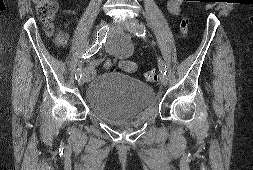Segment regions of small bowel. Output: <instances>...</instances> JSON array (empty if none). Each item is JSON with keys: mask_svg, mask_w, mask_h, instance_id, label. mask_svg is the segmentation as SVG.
<instances>
[{"mask_svg": "<svg viewBox=\"0 0 253 170\" xmlns=\"http://www.w3.org/2000/svg\"><path fill=\"white\" fill-rule=\"evenodd\" d=\"M182 2L183 0H168L166 3V7L169 13L175 16L179 15L181 13ZM120 46L129 48V43L126 40H124L120 43ZM98 62H99L98 59H93L90 62V70H94ZM106 66H110V63H107ZM118 66L127 72H133L137 69V63L132 60L127 59L125 56H122L119 58ZM91 75H92V72H91Z\"/></svg>", "mask_w": 253, "mask_h": 170, "instance_id": "1", "label": "small bowel"}]
</instances>
